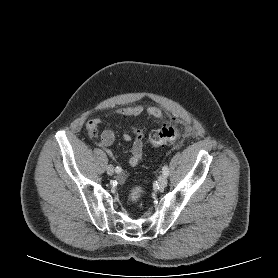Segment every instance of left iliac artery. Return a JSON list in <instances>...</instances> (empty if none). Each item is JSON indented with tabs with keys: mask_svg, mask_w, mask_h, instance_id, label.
Instances as JSON below:
<instances>
[{
	"mask_svg": "<svg viewBox=\"0 0 278 278\" xmlns=\"http://www.w3.org/2000/svg\"><path fill=\"white\" fill-rule=\"evenodd\" d=\"M162 170H163V175L168 176V174H169L168 166H167V165H164L163 168H162Z\"/></svg>",
	"mask_w": 278,
	"mask_h": 278,
	"instance_id": "obj_1",
	"label": "left iliac artery"
}]
</instances>
